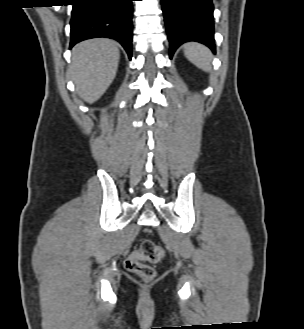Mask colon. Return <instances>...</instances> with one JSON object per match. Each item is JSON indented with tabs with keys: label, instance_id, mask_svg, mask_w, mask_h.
Wrapping results in <instances>:
<instances>
[{
	"label": "colon",
	"instance_id": "5ec220e1",
	"mask_svg": "<svg viewBox=\"0 0 304 329\" xmlns=\"http://www.w3.org/2000/svg\"><path fill=\"white\" fill-rule=\"evenodd\" d=\"M164 258V250L155 245L150 240H145L140 247L133 251L124 261L127 270L137 274L144 281H151L155 277L153 266L144 263L147 261L151 264L160 262Z\"/></svg>",
	"mask_w": 304,
	"mask_h": 329
}]
</instances>
